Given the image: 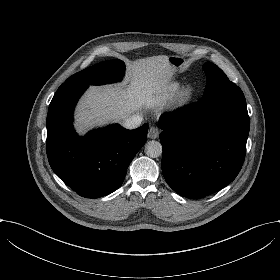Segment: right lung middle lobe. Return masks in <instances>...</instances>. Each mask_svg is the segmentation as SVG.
<instances>
[{
  "label": "right lung middle lobe",
  "mask_w": 280,
  "mask_h": 280,
  "mask_svg": "<svg viewBox=\"0 0 280 280\" xmlns=\"http://www.w3.org/2000/svg\"><path fill=\"white\" fill-rule=\"evenodd\" d=\"M125 72L123 61L108 60L88 67L71 77L63 84L102 85L120 81Z\"/></svg>",
  "instance_id": "obj_1"
}]
</instances>
